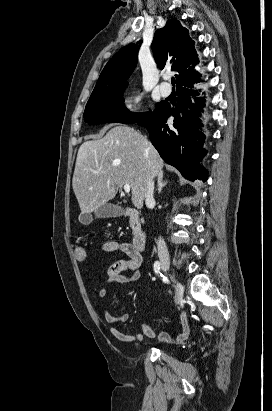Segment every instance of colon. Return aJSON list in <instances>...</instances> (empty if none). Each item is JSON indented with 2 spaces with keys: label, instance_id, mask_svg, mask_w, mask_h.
I'll return each mask as SVG.
<instances>
[{
  "label": "colon",
  "instance_id": "1",
  "mask_svg": "<svg viewBox=\"0 0 272 411\" xmlns=\"http://www.w3.org/2000/svg\"><path fill=\"white\" fill-rule=\"evenodd\" d=\"M75 256L77 260L79 261H85L88 257L87 251L84 247L82 246H77L75 248Z\"/></svg>",
  "mask_w": 272,
  "mask_h": 411
}]
</instances>
